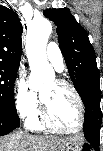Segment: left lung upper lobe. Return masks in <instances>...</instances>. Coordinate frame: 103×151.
I'll return each mask as SVG.
<instances>
[{
  "label": "left lung upper lobe",
  "mask_w": 103,
  "mask_h": 151,
  "mask_svg": "<svg viewBox=\"0 0 103 151\" xmlns=\"http://www.w3.org/2000/svg\"><path fill=\"white\" fill-rule=\"evenodd\" d=\"M44 15L57 26L59 47L74 87L82 95L88 78H100L95 51L88 35L68 8L46 9Z\"/></svg>",
  "instance_id": "left-lung-upper-lobe-1"
}]
</instances>
